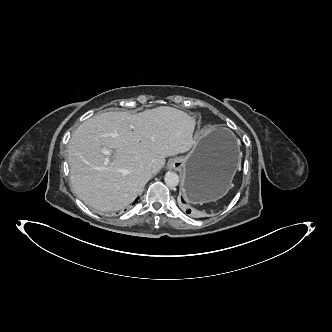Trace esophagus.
<instances>
[{
    "instance_id": "34e87169",
    "label": "esophagus",
    "mask_w": 332,
    "mask_h": 332,
    "mask_svg": "<svg viewBox=\"0 0 332 332\" xmlns=\"http://www.w3.org/2000/svg\"><path fill=\"white\" fill-rule=\"evenodd\" d=\"M168 167L170 169H178L180 167V165H179V162H177V161H171V162H169Z\"/></svg>"
}]
</instances>
